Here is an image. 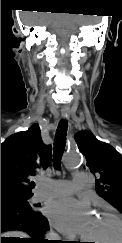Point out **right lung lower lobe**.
Instances as JSON below:
<instances>
[{"label":"right lung lower lobe","mask_w":122,"mask_h":243,"mask_svg":"<svg viewBox=\"0 0 122 243\" xmlns=\"http://www.w3.org/2000/svg\"><path fill=\"white\" fill-rule=\"evenodd\" d=\"M6 230H21L30 238H1V243H57L42 239L49 230L47 219L37 210L14 205H1V232Z\"/></svg>","instance_id":"1"}]
</instances>
